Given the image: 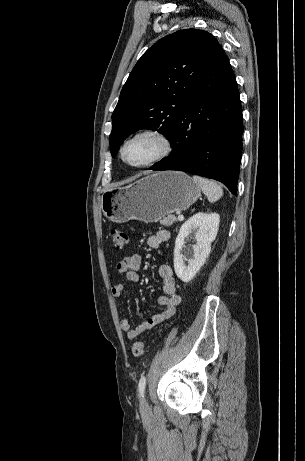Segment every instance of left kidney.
Wrapping results in <instances>:
<instances>
[{
	"label": "left kidney",
	"mask_w": 305,
	"mask_h": 461,
	"mask_svg": "<svg viewBox=\"0 0 305 461\" xmlns=\"http://www.w3.org/2000/svg\"><path fill=\"white\" fill-rule=\"evenodd\" d=\"M219 222V214L199 212L181 226L175 241L174 269L183 282H190L204 265L211 251V243L216 238ZM190 234L194 235L196 244L187 249L185 238ZM186 257H190L188 265L184 263Z\"/></svg>",
	"instance_id": "obj_1"
}]
</instances>
